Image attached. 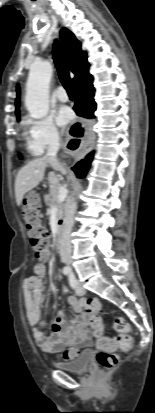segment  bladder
Returning <instances> with one entry per match:
<instances>
[{
	"instance_id": "bladder-1",
	"label": "bladder",
	"mask_w": 155,
	"mask_h": 413,
	"mask_svg": "<svg viewBox=\"0 0 155 413\" xmlns=\"http://www.w3.org/2000/svg\"><path fill=\"white\" fill-rule=\"evenodd\" d=\"M91 355L90 350H85L67 362H55L54 366L73 373H84L89 368Z\"/></svg>"
}]
</instances>
